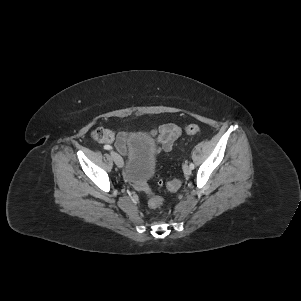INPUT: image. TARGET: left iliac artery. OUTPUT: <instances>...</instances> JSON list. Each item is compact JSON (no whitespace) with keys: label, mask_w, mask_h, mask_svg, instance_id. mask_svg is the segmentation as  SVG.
I'll return each mask as SVG.
<instances>
[{"label":"left iliac artery","mask_w":301,"mask_h":301,"mask_svg":"<svg viewBox=\"0 0 301 301\" xmlns=\"http://www.w3.org/2000/svg\"><path fill=\"white\" fill-rule=\"evenodd\" d=\"M189 167H190L191 169H194L195 166H194L193 163H190Z\"/></svg>","instance_id":"obj_1"}]
</instances>
